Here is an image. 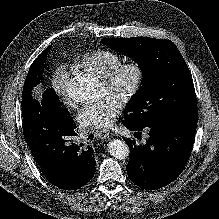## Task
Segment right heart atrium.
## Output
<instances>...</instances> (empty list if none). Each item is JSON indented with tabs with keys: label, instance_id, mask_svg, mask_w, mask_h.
I'll list each match as a JSON object with an SVG mask.
<instances>
[{
	"label": "right heart atrium",
	"instance_id": "1",
	"mask_svg": "<svg viewBox=\"0 0 219 219\" xmlns=\"http://www.w3.org/2000/svg\"><path fill=\"white\" fill-rule=\"evenodd\" d=\"M70 72L65 66H59L51 76V87L54 94L65 106L75 108L77 101L68 94Z\"/></svg>",
	"mask_w": 219,
	"mask_h": 219
}]
</instances>
